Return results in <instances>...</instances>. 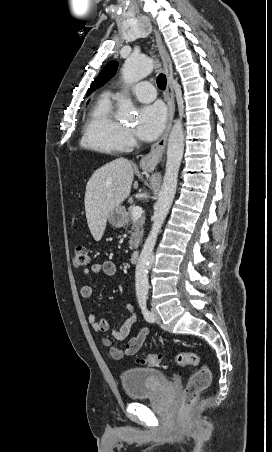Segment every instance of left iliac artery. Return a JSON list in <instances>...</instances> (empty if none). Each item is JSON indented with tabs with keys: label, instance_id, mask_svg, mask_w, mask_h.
<instances>
[{
	"label": "left iliac artery",
	"instance_id": "obj_1",
	"mask_svg": "<svg viewBox=\"0 0 272 452\" xmlns=\"http://www.w3.org/2000/svg\"><path fill=\"white\" fill-rule=\"evenodd\" d=\"M138 303L146 321L154 322L153 314L147 309V296L146 295L139 296Z\"/></svg>",
	"mask_w": 272,
	"mask_h": 452
}]
</instances>
